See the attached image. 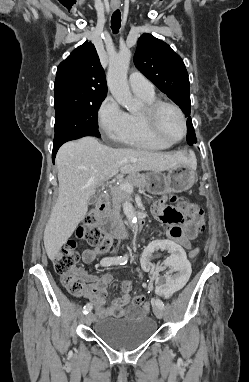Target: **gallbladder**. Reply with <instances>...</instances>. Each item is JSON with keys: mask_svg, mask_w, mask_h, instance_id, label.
<instances>
[{"mask_svg": "<svg viewBox=\"0 0 249 382\" xmlns=\"http://www.w3.org/2000/svg\"><path fill=\"white\" fill-rule=\"evenodd\" d=\"M96 197H91L90 199H89V205H93L95 202H96Z\"/></svg>", "mask_w": 249, "mask_h": 382, "instance_id": "bac80fb5", "label": "gallbladder"}]
</instances>
